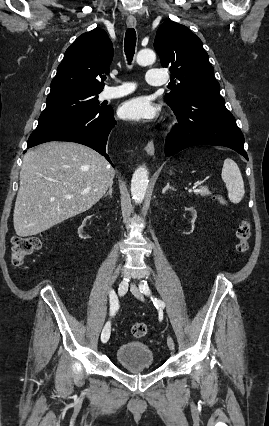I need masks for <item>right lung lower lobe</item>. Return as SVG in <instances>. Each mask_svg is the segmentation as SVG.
Instances as JSON below:
<instances>
[{"instance_id": "obj_1", "label": "right lung lower lobe", "mask_w": 269, "mask_h": 426, "mask_svg": "<svg viewBox=\"0 0 269 426\" xmlns=\"http://www.w3.org/2000/svg\"><path fill=\"white\" fill-rule=\"evenodd\" d=\"M115 124L113 109L103 107L97 112L37 128L29 137L27 148L48 141H71L93 148L111 163L106 144Z\"/></svg>"}]
</instances>
